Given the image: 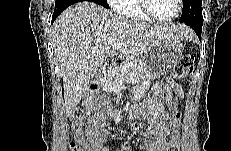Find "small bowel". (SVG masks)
I'll return each instance as SVG.
<instances>
[{"label": "small bowel", "mask_w": 231, "mask_h": 151, "mask_svg": "<svg viewBox=\"0 0 231 151\" xmlns=\"http://www.w3.org/2000/svg\"><path fill=\"white\" fill-rule=\"evenodd\" d=\"M183 95V89L177 84L169 81L166 84L156 83L151 97L135 111L134 117L143 119L150 125L149 129L141 131V136L148 138L144 145L145 151H165L170 136L167 108ZM105 118L106 114L103 113L89 117L87 136L79 142L78 151H110L106 145L110 133L102 125Z\"/></svg>", "instance_id": "small-bowel-1"}]
</instances>
